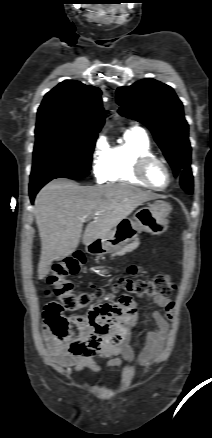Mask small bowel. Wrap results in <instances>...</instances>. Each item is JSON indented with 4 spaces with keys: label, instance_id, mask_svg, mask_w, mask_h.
<instances>
[{
    "label": "small bowel",
    "instance_id": "1",
    "mask_svg": "<svg viewBox=\"0 0 212 438\" xmlns=\"http://www.w3.org/2000/svg\"><path fill=\"white\" fill-rule=\"evenodd\" d=\"M139 271L140 268L136 266L129 268L131 275ZM148 300L156 306L147 314L153 329L148 333L146 345L138 356L129 345V330L140 316L136 303L128 296H122L116 304L97 305L86 315H71L69 321L79 329L77 336H73L71 332L58 336L44 321L43 333L50 352L64 367L95 373L100 372L101 367L92 359L94 356L98 359L110 358L107 363L110 369L122 367V361L118 358L120 355L136 365L143 366L153 362L163 348L169 330L166 318H172L174 302L164 297Z\"/></svg>",
    "mask_w": 212,
    "mask_h": 438
}]
</instances>
